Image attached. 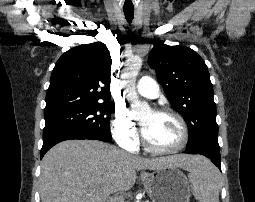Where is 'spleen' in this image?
<instances>
[{
	"label": "spleen",
	"instance_id": "spleen-1",
	"mask_svg": "<svg viewBox=\"0 0 255 202\" xmlns=\"http://www.w3.org/2000/svg\"><path fill=\"white\" fill-rule=\"evenodd\" d=\"M188 177L199 202H219L220 172L209 160L201 157Z\"/></svg>",
	"mask_w": 255,
	"mask_h": 202
}]
</instances>
